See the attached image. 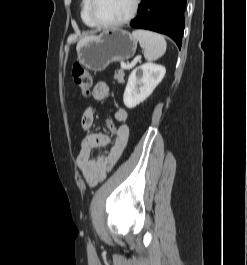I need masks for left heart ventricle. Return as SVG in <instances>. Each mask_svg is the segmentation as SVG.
<instances>
[{
	"instance_id": "left-heart-ventricle-1",
	"label": "left heart ventricle",
	"mask_w": 247,
	"mask_h": 265,
	"mask_svg": "<svg viewBox=\"0 0 247 265\" xmlns=\"http://www.w3.org/2000/svg\"><path fill=\"white\" fill-rule=\"evenodd\" d=\"M133 0H96L95 14L104 23L125 18L131 11Z\"/></svg>"
}]
</instances>
